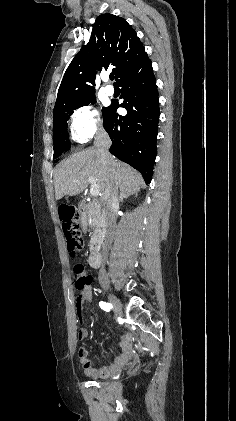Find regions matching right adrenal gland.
I'll return each mask as SVG.
<instances>
[{"label": "right adrenal gland", "instance_id": "2a0ac1e0", "mask_svg": "<svg viewBox=\"0 0 236 421\" xmlns=\"http://www.w3.org/2000/svg\"><path fill=\"white\" fill-rule=\"evenodd\" d=\"M124 198H127V196H125V194H122L121 192V196L119 198L120 202H123Z\"/></svg>", "mask_w": 236, "mask_h": 421}]
</instances>
